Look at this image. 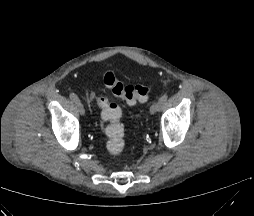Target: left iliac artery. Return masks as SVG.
<instances>
[{"label":"left iliac artery","mask_w":254,"mask_h":216,"mask_svg":"<svg viewBox=\"0 0 254 216\" xmlns=\"http://www.w3.org/2000/svg\"><path fill=\"white\" fill-rule=\"evenodd\" d=\"M167 98H168V95L167 94H164L160 97L159 99V105H160V108L165 104V102L167 101Z\"/></svg>","instance_id":"left-iliac-artery-1"}]
</instances>
